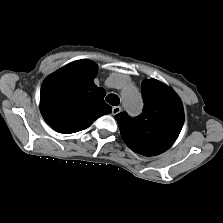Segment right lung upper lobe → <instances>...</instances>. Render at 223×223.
<instances>
[{"mask_svg": "<svg viewBox=\"0 0 223 223\" xmlns=\"http://www.w3.org/2000/svg\"><path fill=\"white\" fill-rule=\"evenodd\" d=\"M97 66L90 60L67 64L48 76L41 87L40 110L55 131L70 134L88 128L112 108L104 101L105 91L93 80Z\"/></svg>", "mask_w": 223, "mask_h": 223, "instance_id": "right-lung-upper-lobe-1", "label": "right lung upper lobe"}]
</instances>
